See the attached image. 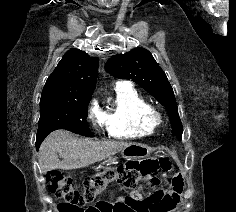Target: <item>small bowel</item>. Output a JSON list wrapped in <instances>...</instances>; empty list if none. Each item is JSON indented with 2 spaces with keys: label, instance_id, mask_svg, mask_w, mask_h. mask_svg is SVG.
<instances>
[{
  "label": "small bowel",
  "instance_id": "obj_1",
  "mask_svg": "<svg viewBox=\"0 0 236 212\" xmlns=\"http://www.w3.org/2000/svg\"><path fill=\"white\" fill-rule=\"evenodd\" d=\"M169 170L165 169L162 172L168 175ZM172 182L173 189L169 192L158 190L143 195L140 193L143 192V187L139 186L148 184V179H138V182L128 180L124 185H118V193L117 191L111 193V200L95 199V204L99 205H89V209H84L82 212H171L176 207L182 192L181 179L174 176ZM119 183H122V180H119ZM114 201L119 205H113Z\"/></svg>",
  "mask_w": 236,
  "mask_h": 212
}]
</instances>
